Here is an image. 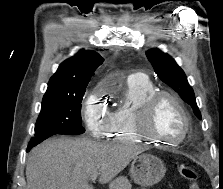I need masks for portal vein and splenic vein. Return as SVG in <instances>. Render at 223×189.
<instances>
[{
  "mask_svg": "<svg viewBox=\"0 0 223 189\" xmlns=\"http://www.w3.org/2000/svg\"><path fill=\"white\" fill-rule=\"evenodd\" d=\"M97 176H98V173H94V174L90 177V180H91V181H95L96 178H97Z\"/></svg>",
  "mask_w": 223,
  "mask_h": 189,
  "instance_id": "obj_1",
  "label": "portal vein and splenic vein"
}]
</instances>
